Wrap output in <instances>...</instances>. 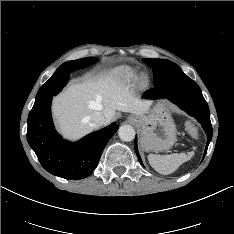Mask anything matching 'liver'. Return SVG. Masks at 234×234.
<instances>
[{
  "instance_id": "1",
  "label": "liver",
  "mask_w": 234,
  "mask_h": 234,
  "mask_svg": "<svg viewBox=\"0 0 234 234\" xmlns=\"http://www.w3.org/2000/svg\"><path fill=\"white\" fill-rule=\"evenodd\" d=\"M151 103L135 96L115 76L105 75L69 85L53 99L52 111L60 132L76 140L92 131L88 117L94 112H100L109 124L116 110L143 115Z\"/></svg>"
}]
</instances>
